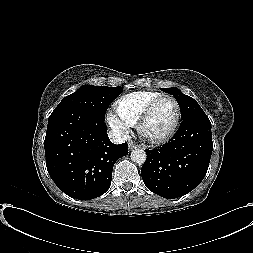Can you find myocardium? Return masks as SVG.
I'll return each instance as SVG.
<instances>
[{"instance_id":"myocardium-1","label":"myocardium","mask_w":253,"mask_h":253,"mask_svg":"<svg viewBox=\"0 0 253 253\" xmlns=\"http://www.w3.org/2000/svg\"><path fill=\"white\" fill-rule=\"evenodd\" d=\"M164 99L171 100L176 107V118H175L174 124L165 135L160 136V137H150L144 132L145 125L148 122V120L150 119L156 106ZM180 120H181V107H180V104L177 101V99L175 97H173L172 95H161V96L157 97L156 99H154L145 108V110L143 111V113L141 114V116L137 122L136 129H137L138 135L140 136V138L142 140H144L152 145H160V144H164V143L168 142L175 135V133L179 127Z\"/></svg>"}]
</instances>
